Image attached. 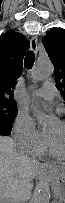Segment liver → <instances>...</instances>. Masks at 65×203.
Masks as SVG:
<instances>
[{"mask_svg": "<svg viewBox=\"0 0 65 203\" xmlns=\"http://www.w3.org/2000/svg\"><path fill=\"white\" fill-rule=\"evenodd\" d=\"M10 137H0V202L22 203L33 187L32 179L45 165L15 151Z\"/></svg>", "mask_w": 65, "mask_h": 203, "instance_id": "liver-1", "label": "liver"}]
</instances>
